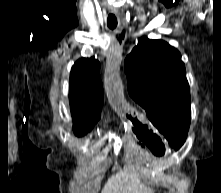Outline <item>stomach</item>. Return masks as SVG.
Returning <instances> with one entry per match:
<instances>
[{"mask_svg": "<svg viewBox=\"0 0 221 193\" xmlns=\"http://www.w3.org/2000/svg\"><path fill=\"white\" fill-rule=\"evenodd\" d=\"M108 102L113 103V107L130 127L129 138H132V142H128L126 147L128 155H150L151 159H164V155H168L167 147L163 142L165 133H159L156 125H152L150 120H144V115H138L136 104L129 102V98H109ZM123 163L127 167H133L136 160L124 159Z\"/></svg>", "mask_w": 221, "mask_h": 193, "instance_id": "stomach-1", "label": "stomach"}]
</instances>
